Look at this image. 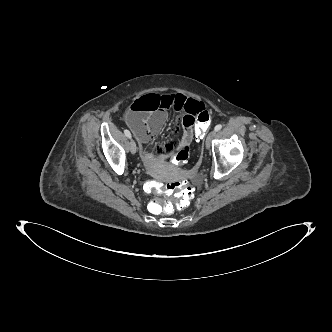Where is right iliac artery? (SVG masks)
Segmentation results:
<instances>
[{
  "label": "right iliac artery",
  "instance_id": "82829eb1",
  "mask_svg": "<svg viewBox=\"0 0 332 332\" xmlns=\"http://www.w3.org/2000/svg\"><path fill=\"white\" fill-rule=\"evenodd\" d=\"M124 134H125L126 137L131 138V133H130L129 130H127V129L124 130Z\"/></svg>",
  "mask_w": 332,
  "mask_h": 332
}]
</instances>
